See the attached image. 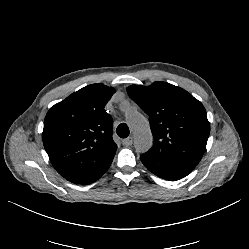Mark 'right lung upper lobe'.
Segmentation results:
<instances>
[{
	"label": "right lung upper lobe",
	"mask_w": 249,
	"mask_h": 249,
	"mask_svg": "<svg viewBox=\"0 0 249 249\" xmlns=\"http://www.w3.org/2000/svg\"><path fill=\"white\" fill-rule=\"evenodd\" d=\"M114 93L103 84L88 85L45 117L44 148L53 167L72 183H83L114 158L113 119L104 109Z\"/></svg>",
	"instance_id": "right-lung-upper-lobe-1"
}]
</instances>
